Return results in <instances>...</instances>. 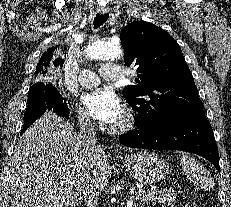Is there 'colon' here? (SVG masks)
<instances>
[{"instance_id":"1","label":"colon","mask_w":231,"mask_h":207,"mask_svg":"<svg viewBox=\"0 0 231 207\" xmlns=\"http://www.w3.org/2000/svg\"><path fill=\"white\" fill-rule=\"evenodd\" d=\"M188 207H199L196 203L191 202L188 204Z\"/></svg>"}]
</instances>
